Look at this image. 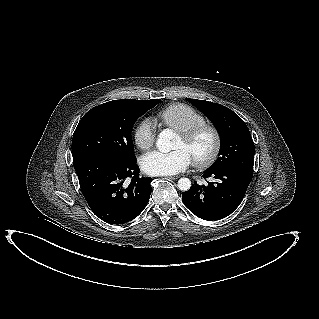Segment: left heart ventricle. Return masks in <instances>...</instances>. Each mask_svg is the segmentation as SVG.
<instances>
[{"instance_id":"1","label":"left heart ventricle","mask_w":319,"mask_h":319,"mask_svg":"<svg viewBox=\"0 0 319 319\" xmlns=\"http://www.w3.org/2000/svg\"><path fill=\"white\" fill-rule=\"evenodd\" d=\"M212 146V140L208 133L204 132L197 136L191 142H185L180 136L174 144V148H183L190 155L191 159L203 158L210 151Z\"/></svg>"}]
</instances>
